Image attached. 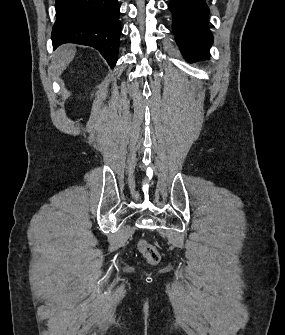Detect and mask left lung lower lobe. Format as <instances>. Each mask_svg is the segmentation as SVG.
<instances>
[{"label": "left lung lower lobe", "instance_id": "0a47b994", "mask_svg": "<svg viewBox=\"0 0 285 335\" xmlns=\"http://www.w3.org/2000/svg\"><path fill=\"white\" fill-rule=\"evenodd\" d=\"M173 32L189 62L208 58L213 36L209 30L206 0H171Z\"/></svg>", "mask_w": 285, "mask_h": 335}]
</instances>
